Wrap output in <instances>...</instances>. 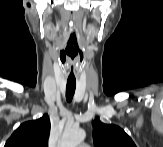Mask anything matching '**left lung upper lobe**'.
<instances>
[{
  "label": "left lung upper lobe",
  "instance_id": "1",
  "mask_svg": "<svg viewBox=\"0 0 163 147\" xmlns=\"http://www.w3.org/2000/svg\"><path fill=\"white\" fill-rule=\"evenodd\" d=\"M95 147H136L132 139L117 125L92 122Z\"/></svg>",
  "mask_w": 163,
  "mask_h": 147
}]
</instances>
